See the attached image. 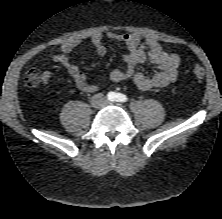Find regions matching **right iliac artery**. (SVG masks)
<instances>
[{
	"label": "right iliac artery",
	"mask_w": 222,
	"mask_h": 219,
	"mask_svg": "<svg viewBox=\"0 0 222 219\" xmlns=\"http://www.w3.org/2000/svg\"><path fill=\"white\" fill-rule=\"evenodd\" d=\"M115 96H116V94H115L114 92H110V93L108 94V99H109L110 101H114V100H115Z\"/></svg>",
	"instance_id": "right-iliac-artery-1"
}]
</instances>
